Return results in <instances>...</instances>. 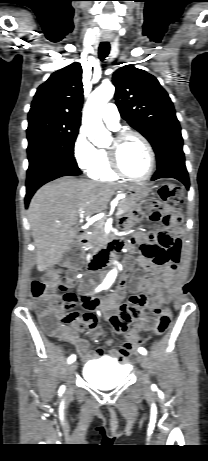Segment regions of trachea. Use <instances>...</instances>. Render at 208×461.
I'll use <instances>...</instances> for the list:
<instances>
[{"instance_id":"3493384b","label":"trachea","mask_w":208,"mask_h":461,"mask_svg":"<svg viewBox=\"0 0 208 461\" xmlns=\"http://www.w3.org/2000/svg\"><path fill=\"white\" fill-rule=\"evenodd\" d=\"M110 52V44L107 42H102L99 46V58L101 61L105 60Z\"/></svg>"}]
</instances>
